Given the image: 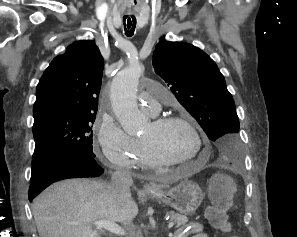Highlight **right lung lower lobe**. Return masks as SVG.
<instances>
[{
  "instance_id": "obj_1",
  "label": "right lung lower lobe",
  "mask_w": 297,
  "mask_h": 237,
  "mask_svg": "<svg viewBox=\"0 0 297 237\" xmlns=\"http://www.w3.org/2000/svg\"><path fill=\"white\" fill-rule=\"evenodd\" d=\"M103 173L94 157L77 151H56L40 157L32 164L29 199L56 181L71 178H94Z\"/></svg>"
}]
</instances>
